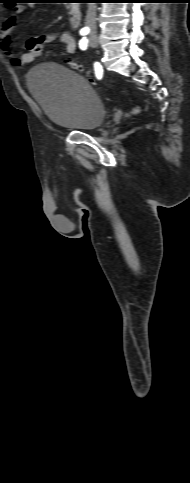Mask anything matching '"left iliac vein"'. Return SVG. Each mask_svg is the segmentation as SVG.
Segmentation results:
<instances>
[{
	"instance_id": "obj_1",
	"label": "left iliac vein",
	"mask_w": 190,
	"mask_h": 483,
	"mask_svg": "<svg viewBox=\"0 0 190 483\" xmlns=\"http://www.w3.org/2000/svg\"><path fill=\"white\" fill-rule=\"evenodd\" d=\"M89 45L93 48L97 47L98 41H97V36L95 34H92L89 39Z\"/></svg>"
}]
</instances>
